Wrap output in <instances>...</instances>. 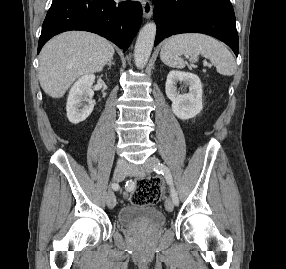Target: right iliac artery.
<instances>
[{"label": "right iliac artery", "mask_w": 286, "mask_h": 269, "mask_svg": "<svg viewBox=\"0 0 286 269\" xmlns=\"http://www.w3.org/2000/svg\"><path fill=\"white\" fill-rule=\"evenodd\" d=\"M126 187L128 188V187H133V182H132V180H128L127 182H126ZM112 188L114 189V190H118L119 189V185L117 184V183H113L112 184Z\"/></svg>", "instance_id": "82829eb1"}]
</instances>
